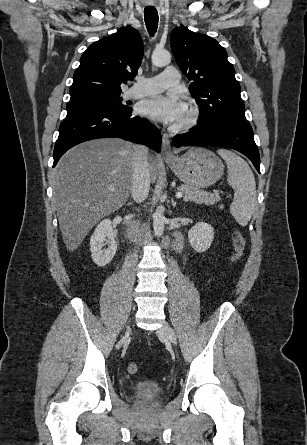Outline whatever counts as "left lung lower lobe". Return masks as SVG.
<instances>
[{
    "label": "left lung lower lobe",
    "instance_id": "left-lung-lower-lobe-1",
    "mask_svg": "<svg viewBox=\"0 0 307 445\" xmlns=\"http://www.w3.org/2000/svg\"><path fill=\"white\" fill-rule=\"evenodd\" d=\"M173 143L175 147L214 145L235 149L246 155L260 173L259 151L246 120L220 118L202 123L188 133L176 135Z\"/></svg>",
    "mask_w": 307,
    "mask_h": 445
}]
</instances>
